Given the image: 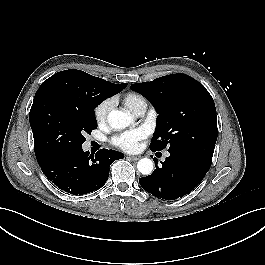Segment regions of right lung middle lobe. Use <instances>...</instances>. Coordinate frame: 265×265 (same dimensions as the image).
<instances>
[{
    "mask_svg": "<svg viewBox=\"0 0 265 265\" xmlns=\"http://www.w3.org/2000/svg\"><path fill=\"white\" fill-rule=\"evenodd\" d=\"M102 101L101 97L70 101L52 92L35 96L29 120L36 158L81 148L84 135L97 128L94 108Z\"/></svg>",
    "mask_w": 265,
    "mask_h": 265,
    "instance_id": "obj_1",
    "label": "right lung middle lobe"
}]
</instances>
